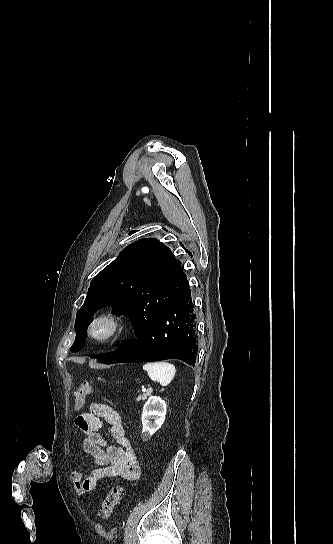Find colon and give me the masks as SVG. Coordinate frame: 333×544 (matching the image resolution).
Returning <instances> with one entry per match:
<instances>
[{"mask_svg":"<svg viewBox=\"0 0 333 544\" xmlns=\"http://www.w3.org/2000/svg\"><path fill=\"white\" fill-rule=\"evenodd\" d=\"M94 393V388L88 381H83L80 388L75 393L74 409L79 411L85 404L87 396ZM121 497V488L113 486L107 493L106 497L101 501L99 516L103 520L109 519L115 507L118 505Z\"/></svg>","mask_w":333,"mask_h":544,"instance_id":"1","label":"colon"}]
</instances>
